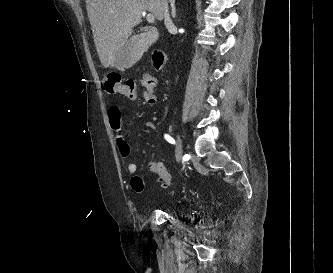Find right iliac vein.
I'll return each instance as SVG.
<instances>
[{
	"mask_svg": "<svg viewBox=\"0 0 333 273\" xmlns=\"http://www.w3.org/2000/svg\"><path fill=\"white\" fill-rule=\"evenodd\" d=\"M182 155H183V143L180 136L177 134L176 159L178 162L181 161Z\"/></svg>",
	"mask_w": 333,
	"mask_h": 273,
	"instance_id": "1",
	"label": "right iliac vein"
}]
</instances>
